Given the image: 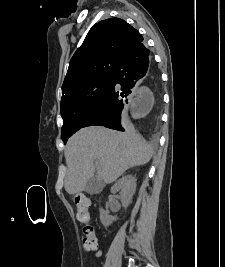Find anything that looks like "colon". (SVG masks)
I'll return each instance as SVG.
<instances>
[{
	"mask_svg": "<svg viewBox=\"0 0 225 267\" xmlns=\"http://www.w3.org/2000/svg\"><path fill=\"white\" fill-rule=\"evenodd\" d=\"M77 206V219L83 224V247L86 250H93L97 245L95 235V227L91 223V215L89 212L90 200L85 196H78L75 200Z\"/></svg>",
	"mask_w": 225,
	"mask_h": 267,
	"instance_id": "1",
	"label": "colon"
}]
</instances>
